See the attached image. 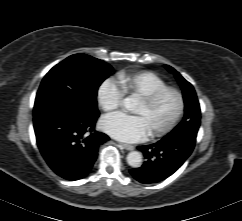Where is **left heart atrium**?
Here are the masks:
<instances>
[{
  "label": "left heart atrium",
  "mask_w": 242,
  "mask_h": 221,
  "mask_svg": "<svg viewBox=\"0 0 242 221\" xmlns=\"http://www.w3.org/2000/svg\"><path fill=\"white\" fill-rule=\"evenodd\" d=\"M101 127L104 132L123 142L139 141L149 133L148 125L143 117L121 112L105 116L101 120Z\"/></svg>",
  "instance_id": "obj_1"
}]
</instances>
